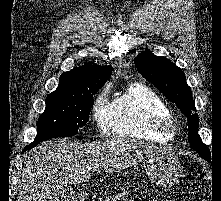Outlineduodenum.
Segmentation results:
<instances>
[{
    "mask_svg": "<svg viewBox=\"0 0 221 201\" xmlns=\"http://www.w3.org/2000/svg\"><path fill=\"white\" fill-rule=\"evenodd\" d=\"M76 201H85V198L83 196H79Z\"/></svg>",
    "mask_w": 221,
    "mask_h": 201,
    "instance_id": "obj_1",
    "label": "duodenum"
}]
</instances>
